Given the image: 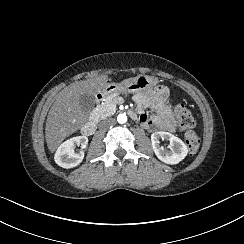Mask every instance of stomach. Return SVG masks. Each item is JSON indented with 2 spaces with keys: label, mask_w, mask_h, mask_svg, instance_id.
<instances>
[{
  "label": "stomach",
  "mask_w": 244,
  "mask_h": 244,
  "mask_svg": "<svg viewBox=\"0 0 244 244\" xmlns=\"http://www.w3.org/2000/svg\"><path fill=\"white\" fill-rule=\"evenodd\" d=\"M154 78H147L146 76L136 77L134 79H126L122 83H107L101 89L100 92L104 95H110L115 92H136L141 90L147 85H154Z\"/></svg>",
  "instance_id": "1"
}]
</instances>
